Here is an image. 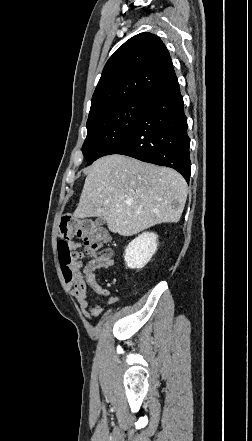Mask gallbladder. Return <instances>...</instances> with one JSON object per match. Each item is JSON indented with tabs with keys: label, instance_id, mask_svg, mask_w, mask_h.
I'll return each instance as SVG.
<instances>
[{
	"label": "gallbladder",
	"instance_id": "bac80fb5",
	"mask_svg": "<svg viewBox=\"0 0 252 441\" xmlns=\"http://www.w3.org/2000/svg\"><path fill=\"white\" fill-rule=\"evenodd\" d=\"M95 224H96V225H103V224H105V218L102 217V216L98 217V218L95 220Z\"/></svg>",
	"mask_w": 252,
	"mask_h": 441
}]
</instances>
